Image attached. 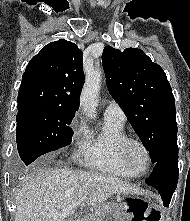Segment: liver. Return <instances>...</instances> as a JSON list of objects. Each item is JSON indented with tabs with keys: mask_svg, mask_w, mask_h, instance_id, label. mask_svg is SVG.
<instances>
[{
	"mask_svg": "<svg viewBox=\"0 0 190 221\" xmlns=\"http://www.w3.org/2000/svg\"><path fill=\"white\" fill-rule=\"evenodd\" d=\"M132 193L139 194V188L114 176L37 167L17 190L15 221H72L53 215L84 196L86 204L98 208L114 194Z\"/></svg>",
	"mask_w": 190,
	"mask_h": 221,
	"instance_id": "6515ba94",
	"label": "liver"
}]
</instances>
